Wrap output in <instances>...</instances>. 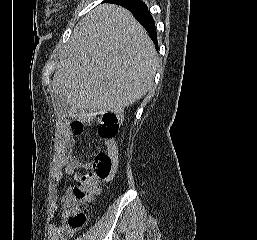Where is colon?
Here are the masks:
<instances>
[{
  "mask_svg": "<svg viewBox=\"0 0 257 240\" xmlns=\"http://www.w3.org/2000/svg\"><path fill=\"white\" fill-rule=\"evenodd\" d=\"M93 121L98 126V136L103 141L112 139L118 131L119 118L114 113H96ZM68 128L73 133H81L83 124L74 121ZM114 169L115 159L107 152L102 151L95 155L90 171L80 178L63 201V217L69 228L79 230L86 224L87 218L80 206L99 191L100 186L113 175Z\"/></svg>",
  "mask_w": 257,
  "mask_h": 240,
  "instance_id": "5ec220e1",
  "label": "colon"
}]
</instances>
